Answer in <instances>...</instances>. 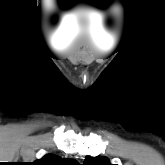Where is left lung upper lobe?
I'll use <instances>...</instances> for the list:
<instances>
[{"label": "left lung upper lobe", "instance_id": "5c2ea615", "mask_svg": "<svg viewBox=\"0 0 165 165\" xmlns=\"http://www.w3.org/2000/svg\"><path fill=\"white\" fill-rule=\"evenodd\" d=\"M84 165H112L109 159L103 156L89 157L87 156Z\"/></svg>", "mask_w": 165, "mask_h": 165}]
</instances>
